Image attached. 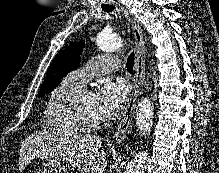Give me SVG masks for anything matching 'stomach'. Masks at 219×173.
I'll return each mask as SVG.
<instances>
[{
    "mask_svg": "<svg viewBox=\"0 0 219 173\" xmlns=\"http://www.w3.org/2000/svg\"><path fill=\"white\" fill-rule=\"evenodd\" d=\"M42 173H68V170L62 166L57 158H50L44 164Z\"/></svg>",
    "mask_w": 219,
    "mask_h": 173,
    "instance_id": "stomach-1",
    "label": "stomach"
}]
</instances>
